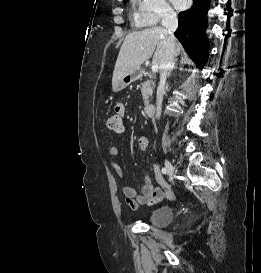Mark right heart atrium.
Listing matches in <instances>:
<instances>
[{
	"mask_svg": "<svg viewBox=\"0 0 261 273\" xmlns=\"http://www.w3.org/2000/svg\"><path fill=\"white\" fill-rule=\"evenodd\" d=\"M138 13L136 21L142 26H155L175 18V11L167 0H135Z\"/></svg>",
	"mask_w": 261,
	"mask_h": 273,
	"instance_id": "d8ad5b80",
	"label": "right heart atrium"
}]
</instances>
